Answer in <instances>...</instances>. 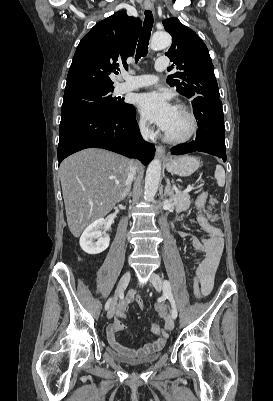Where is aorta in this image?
<instances>
[{
	"instance_id": "aorta-1",
	"label": "aorta",
	"mask_w": 273,
	"mask_h": 401,
	"mask_svg": "<svg viewBox=\"0 0 273 401\" xmlns=\"http://www.w3.org/2000/svg\"><path fill=\"white\" fill-rule=\"evenodd\" d=\"M172 39L167 32H156L151 39V49L162 50L171 45ZM161 176V161L157 158L149 164L145 177L144 199L152 201L156 195Z\"/></svg>"
}]
</instances>
